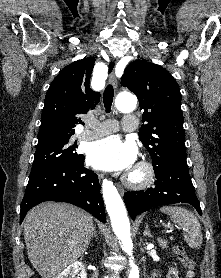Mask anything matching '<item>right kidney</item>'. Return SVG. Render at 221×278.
<instances>
[{
	"mask_svg": "<svg viewBox=\"0 0 221 278\" xmlns=\"http://www.w3.org/2000/svg\"><path fill=\"white\" fill-rule=\"evenodd\" d=\"M81 270L80 277L87 278L86 271L82 262L76 261L69 265L57 278H73L75 274Z\"/></svg>",
	"mask_w": 221,
	"mask_h": 278,
	"instance_id": "1",
	"label": "right kidney"
}]
</instances>
